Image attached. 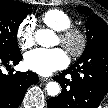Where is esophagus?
I'll return each instance as SVG.
<instances>
[{
    "mask_svg": "<svg viewBox=\"0 0 108 108\" xmlns=\"http://www.w3.org/2000/svg\"><path fill=\"white\" fill-rule=\"evenodd\" d=\"M39 80L41 82H47V81H50V78H47V77H39Z\"/></svg>",
    "mask_w": 108,
    "mask_h": 108,
    "instance_id": "esophagus-1",
    "label": "esophagus"
}]
</instances>
